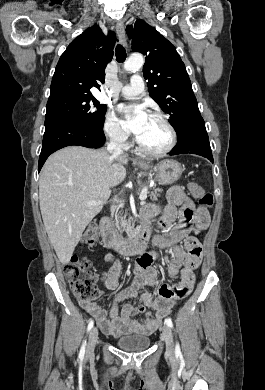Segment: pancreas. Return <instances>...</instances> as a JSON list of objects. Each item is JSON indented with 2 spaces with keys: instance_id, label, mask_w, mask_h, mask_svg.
I'll list each match as a JSON object with an SVG mask.
<instances>
[{
  "instance_id": "obj_1",
  "label": "pancreas",
  "mask_w": 265,
  "mask_h": 390,
  "mask_svg": "<svg viewBox=\"0 0 265 390\" xmlns=\"http://www.w3.org/2000/svg\"><path fill=\"white\" fill-rule=\"evenodd\" d=\"M161 189L153 187V189L149 192L150 197L156 198L159 195ZM112 227H117L118 230L128 232L130 230V220H126L125 217L119 218L116 217L114 221H112Z\"/></svg>"
}]
</instances>
